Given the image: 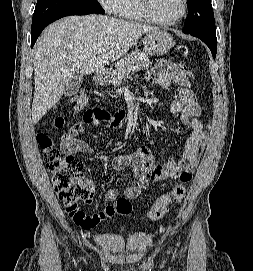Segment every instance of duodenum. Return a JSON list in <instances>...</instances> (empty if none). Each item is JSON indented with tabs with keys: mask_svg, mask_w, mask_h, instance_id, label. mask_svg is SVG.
Masks as SVG:
<instances>
[{
	"mask_svg": "<svg viewBox=\"0 0 253 271\" xmlns=\"http://www.w3.org/2000/svg\"><path fill=\"white\" fill-rule=\"evenodd\" d=\"M105 80V73L102 71H99L95 74V81L97 84H102ZM125 117V113L124 112H118L114 115L113 117V121L115 124L120 123Z\"/></svg>",
	"mask_w": 253,
	"mask_h": 271,
	"instance_id": "1",
	"label": "duodenum"
}]
</instances>
